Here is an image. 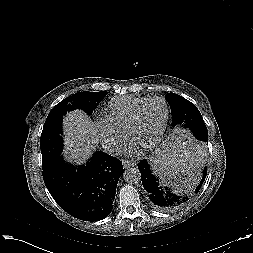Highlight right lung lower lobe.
<instances>
[{
  "instance_id": "right-lung-lower-lobe-1",
  "label": "right lung lower lobe",
  "mask_w": 253,
  "mask_h": 253,
  "mask_svg": "<svg viewBox=\"0 0 253 253\" xmlns=\"http://www.w3.org/2000/svg\"><path fill=\"white\" fill-rule=\"evenodd\" d=\"M44 183L57 204L71 216L84 221H99L112 211L116 186L123 174L122 162L97 151L76 169L62 157L42 164Z\"/></svg>"
}]
</instances>
